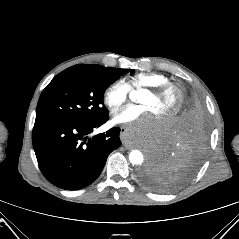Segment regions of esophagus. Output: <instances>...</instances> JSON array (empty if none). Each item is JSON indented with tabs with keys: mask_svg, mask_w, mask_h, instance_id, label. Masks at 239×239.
<instances>
[{
	"mask_svg": "<svg viewBox=\"0 0 239 239\" xmlns=\"http://www.w3.org/2000/svg\"><path fill=\"white\" fill-rule=\"evenodd\" d=\"M126 131H127L126 127H124V126L121 127V138H122V140H123L124 146H125L127 149H131L132 146L129 145V144L127 143V141L124 139V136H125Z\"/></svg>",
	"mask_w": 239,
	"mask_h": 239,
	"instance_id": "esophagus-1",
	"label": "esophagus"
}]
</instances>
